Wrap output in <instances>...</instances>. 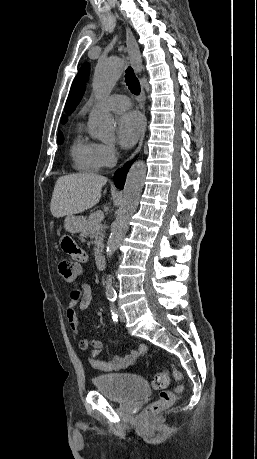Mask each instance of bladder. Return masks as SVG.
Here are the masks:
<instances>
[{"label": "bladder", "instance_id": "31cf9c89", "mask_svg": "<svg viewBox=\"0 0 257 459\" xmlns=\"http://www.w3.org/2000/svg\"><path fill=\"white\" fill-rule=\"evenodd\" d=\"M92 382L95 390L119 403L133 402L150 393L147 382L130 373L97 375Z\"/></svg>", "mask_w": 257, "mask_h": 459}]
</instances>
